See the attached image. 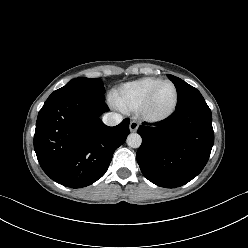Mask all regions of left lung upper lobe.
<instances>
[{
  "label": "left lung upper lobe",
  "mask_w": 248,
  "mask_h": 248,
  "mask_svg": "<svg viewBox=\"0 0 248 248\" xmlns=\"http://www.w3.org/2000/svg\"><path fill=\"white\" fill-rule=\"evenodd\" d=\"M170 80L175 84L178 91V103L176 109L182 108L197 100H203L201 93L185 81L173 75H168Z\"/></svg>",
  "instance_id": "obj_1"
}]
</instances>
